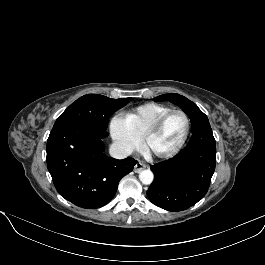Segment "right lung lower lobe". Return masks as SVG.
<instances>
[{"instance_id":"obj_1","label":"right lung lower lobe","mask_w":265,"mask_h":265,"mask_svg":"<svg viewBox=\"0 0 265 265\" xmlns=\"http://www.w3.org/2000/svg\"><path fill=\"white\" fill-rule=\"evenodd\" d=\"M103 130L81 123L53 127L47 140V167L58 193L76 206L95 209L115 195L119 181L133 170L131 157L104 153Z\"/></svg>"}]
</instances>
